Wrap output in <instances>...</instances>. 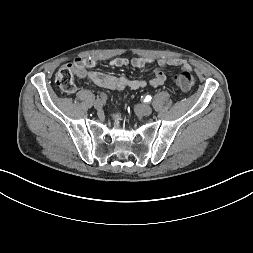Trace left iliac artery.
<instances>
[{"mask_svg": "<svg viewBox=\"0 0 253 253\" xmlns=\"http://www.w3.org/2000/svg\"><path fill=\"white\" fill-rule=\"evenodd\" d=\"M151 99H152V97L148 95V96H146L145 101L149 102V101H151Z\"/></svg>", "mask_w": 253, "mask_h": 253, "instance_id": "44dca946", "label": "left iliac artery"}]
</instances>
